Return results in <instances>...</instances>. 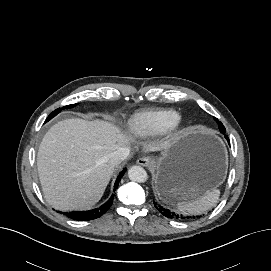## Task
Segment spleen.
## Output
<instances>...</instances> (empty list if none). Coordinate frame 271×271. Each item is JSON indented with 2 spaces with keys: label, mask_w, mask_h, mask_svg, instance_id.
Masks as SVG:
<instances>
[{
  "label": "spleen",
  "mask_w": 271,
  "mask_h": 271,
  "mask_svg": "<svg viewBox=\"0 0 271 271\" xmlns=\"http://www.w3.org/2000/svg\"><path fill=\"white\" fill-rule=\"evenodd\" d=\"M219 196L220 190L214 188L195 200L178 203V209L184 214H201L216 205L219 200Z\"/></svg>",
  "instance_id": "spleen-1"
}]
</instances>
